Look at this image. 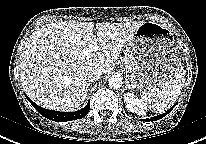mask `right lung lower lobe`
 <instances>
[{
  "label": "right lung lower lobe",
  "mask_w": 206,
  "mask_h": 144,
  "mask_svg": "<svg viewBox=\"0 0 206 144\" xmlns=\"http://www.w3.org/2000/svg\"><path fill=\"white\" fill-rule=\"evenodd\" d=\"M27 97V96H26ZM28 101L32 104V106L44 117L57 121V122H64V121H71V120H76L85 117L89 110H90V100L87 103V105L75 112H59V111H54V110H47L44 109L37 104H35L29 97H27Z\"/></svg>",
  "instance_id": "1"
}]
</instances>
